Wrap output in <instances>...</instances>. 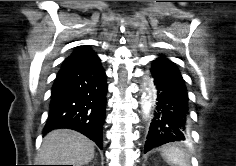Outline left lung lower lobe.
Masks as SVG:
<instances>
[{
	"label": "left lung lower lobe",
	"mask_w": 236,
	"mask_h": 166,
	"mask_svg": "<svg viewBox=\"0 0 236 166\" xmlns=\"http://www.w3.org/2000/svg\"><path fill=\"white\" fill-rule=\"evenodd\" d=\"M150 72L156 103L145 153L169 142L184 141L189 135V98L181 73L173 62L164 57L153 61Z\"/></svg>",
	"instance_id": "left-lung-lower-lobe-1"
}]
</instances>
